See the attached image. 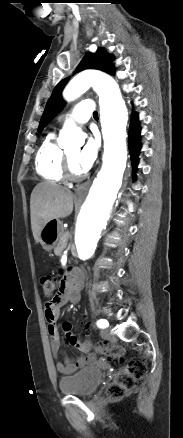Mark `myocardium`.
I'll list each match as a JSON object with an SVG mask.
<instances>
[{"instance_id":"f54148a6","label":"myocardium","mask_w":183,"mask_h":438,"mask_svg":"<svg viewBox=\"0 0 183 438\" xmlns=\"http://www.w3.org/2000/svg\"><path fill=\"white\" fill-rule=\"evenodd\" d=\"M63 174L64 177L71 181H77L81 180L86 176L85 172L82 173H76L71 166V161L66 153H64V160H63Z\"/></svg>"}]
</instances>
